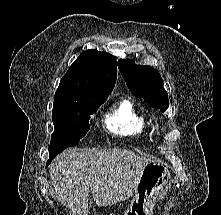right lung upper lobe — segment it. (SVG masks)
I'll list each match as a JSON object with an SVG mask.
<instances>
[{
    "label": "right lung upper lobe",
    "mask_w": 221,
    "mask_h": 215,
    "mask_svg": "<svg viewBox=\"0 0 221 215\" xmlns=\"http://www.w3.org/2000/svg\"><path fill=\"white\" fill-rule=\"evenodd\" d=\"M117 78L114 56L97 50L83 52L60 81L54 105L81 104L106 99Z\"/></svg>",
    "instance_id": "cb5924a9"
}]
</instances>
